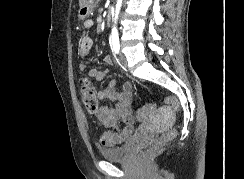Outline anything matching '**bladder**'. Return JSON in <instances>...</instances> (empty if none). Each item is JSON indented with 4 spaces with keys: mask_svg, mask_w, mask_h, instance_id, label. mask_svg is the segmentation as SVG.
I'll use <instances>...</instances> for the list:
<instances>
[{
    "mask_svg": "<svg viewBox=\"0 0 244 179\" xmlns=\"http://www.w3.org/2000/svg\"><path fill=\"white\" fill-rule=\"evenodd\" d=\"M131 142L132 140H129L121 146L117 145L109 148H101L99 151L100 157L108 161L126 159L132 152Z\"/></svg>",
    "mask_w": 244,
    "mask_h": 179,
    "instance_id": "31cf9c89",
    "label": "bladder"
}]
</instances>
